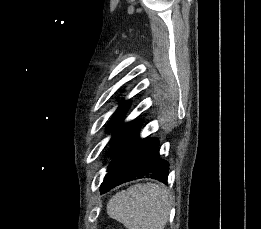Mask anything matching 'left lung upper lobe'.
I'll list each match as a JSON object with an SVG mask.
<instances>
[{
	"instance_id": "obj_1",
	"label": "left lung upper lobe",
	"mask_w": 261,
	"mask_h": 229,
	"mask_svg": "<svg viewBox=\"0 0 261 229\" xmlns=\"http://www.w3.org/2000/svg\"><path fill=\"white\" fill-rule=\"evenodd\" d=\"M128 107H129V102H126L124 105H122L108 124L107 127L108 130L115 129L113 131V138L111 140V145H113L121 137V135L132 125V123L119 124L122 121Z\"/></svg>"
}]
</instances>
